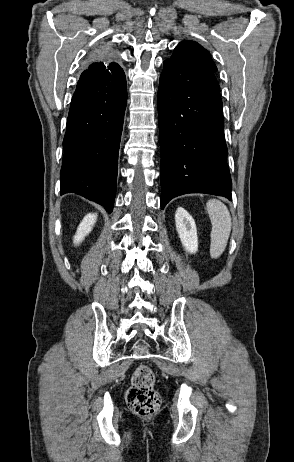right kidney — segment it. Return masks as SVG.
<instances>
[{
  "mask_svg": "<svg viewBox=\"0 0 294 462\" xmlns=\"http://www.w3.org/2000/svg\"><path fill=\"white\" fill-rule=\"evenodd\" d=\"M96 220V213H89L83 218L82 222L79 224L77 228L76 235L74 236L73 242L75 245L81 243L82 240H84L85 236H87L91 232Z\"/></svg>",
  "mask_w": 294,
  "mask_h": 462,
  "instance_id": "1",
  "label": "right kidney"
}]
</instances>
